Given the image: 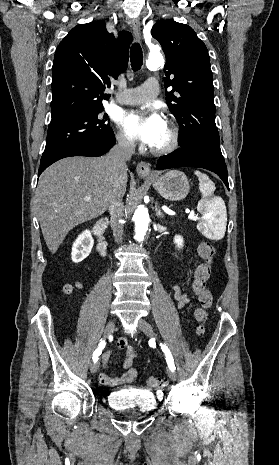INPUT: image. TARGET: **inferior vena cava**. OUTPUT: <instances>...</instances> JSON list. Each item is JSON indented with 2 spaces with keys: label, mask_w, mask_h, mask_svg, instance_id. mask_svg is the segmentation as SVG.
<instances>
[{
  "label": "inferior vena cava",
  "mask_w": 279,
  "mask_h": 465,
  "mask_svg": "<svg viewBox=\"0 0 279 465\" xmlns=\"http://www.w3.org/2000/svg\"><path fill=\"white\" fill-rule=\"evenodd\" d=\"M118 143L105 156L111 172L112 192L110 195V214L112 217V230L115 242L119 243L122 240L123 226L120 219L124 213L123 195L121 191L120 181L121 175L127 170L126 161L130 160L135 152V143L132 140L126 139L123 136L117 138Z\"/></svg>",
  "instance_id": "obj_1"
}]
</instances>
